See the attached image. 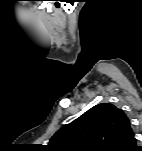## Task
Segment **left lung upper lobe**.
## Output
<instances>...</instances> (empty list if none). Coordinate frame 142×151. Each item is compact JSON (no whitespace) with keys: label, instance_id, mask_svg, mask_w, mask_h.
I'll use <instances>...</instances> for the list:
<instances>
[{"label":"left lung upper lobe","instance_id":"1","mask_svg":"<svg viewBox=\"0 0 142 151\" xmlns=\"http://www.w3.org/2000/svg\"><path fill=\"white\" fill-rule=\"evenodd\" d=\"M133 136L124 111L102 103L58 130L49 147L54 151H123Z\"/></svg>","mask_w":142,"mask_h":151}]
</instances>
